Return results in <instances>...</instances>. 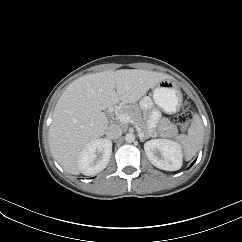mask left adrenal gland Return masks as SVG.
<instances>
[{
	"label": "left adrenal gland",
	"mask_w": 242,
	"mask_h": 242,
	"mask_svg": "<svg viewBox=\"0 0 242 242\" xmlns=\"http://www.w3.org/2000/svg\"><path fill=\"white\" fill-rule=\"evenodd\" d=\"M139 138H140V141H141V142H144V141H145V139H148V137H147V136H143V137L139 136Z\"/></svg>",
	"instance_id": "a2214340"
}]
</instances>
